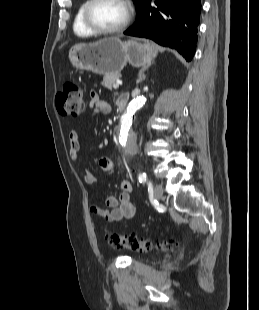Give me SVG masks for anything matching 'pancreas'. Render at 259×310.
I'll use <instances>...</instances> for the list:
<instances>
[{
	"label": "pancreas",
	"mask_w": 259,
	"mask_h": 310,
	"mask_svg": "<svg viewBox=\"0 0 259 310\" xmlns=\"http://www.w3.org/2000/svg\"><path fill=\"white\" fill-rule=\"evenodd\" d=\"M119 78V74H106L103 78L102 85L107 89L111 90L113 84Z\"/></svg>",
	"instance_id": "1"
}]
</instances>
